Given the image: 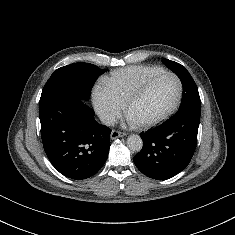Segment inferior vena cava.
<instances>
[{
	"label": "inferior vena cava",
	"instance_id": "inferior-vena-cava-1",
	"mask_svg": "<svg viewBox=\"0 0 235 235\" xmlns=\"http://www.w3.org/2000/svg\"><path fill=\"white\" fill-rule=\"evenodd\" d=\"M99 118L100 121L107 126H112L116 122L115 117L110 113H100Z\"/></svg>",
	"mask_w": 235,
	"mask_h": 235
}]
</instances>
